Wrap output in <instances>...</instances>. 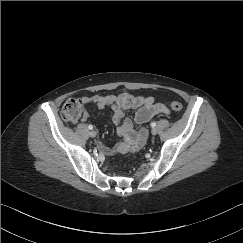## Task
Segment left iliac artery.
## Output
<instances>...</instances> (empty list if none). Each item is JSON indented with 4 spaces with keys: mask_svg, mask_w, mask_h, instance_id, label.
<instances>
[{
    "mask_svg": "<svg viewBox=\"0 0 243 243\" xmlns=\"http://www.w3.org/2000/svg\"><path fill=\"white\" fill-rule=\"evenodd\" d=\"M156 126V122L151 123V127L154 128Z\"/></svg>",
    "mask_w": 243,
    "mask_h": 243,
    "instance_id": "obj_1",
    "label": "left iliac artery"
}]
</instances>
